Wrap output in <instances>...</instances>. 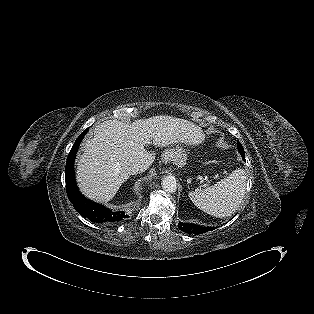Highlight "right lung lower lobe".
Here are the masks:
<instances>
[{
    "mask_svg": "<svg viewBox=\"0 0 314 314\" xmlns=\"http://www.w3.org/2000/svg\"><path fill=\"white\" fill-rule=\"evenodd\" d=\"M88 128L84 130L75 141L66 162L65 178L66 191L69 200L73 203L75 210L84 218L97 223H114L122 220L127 215L123 211H112L102 205L96 204L84 197L78 190L74 177V159L81 140L87 133Z\"/></svg>",
    "mask_w": 314,
    "mask_h": 314,
    "instance_id": "98d812e1",
    "label": "right lung lower lobe"
}]
</instances>
